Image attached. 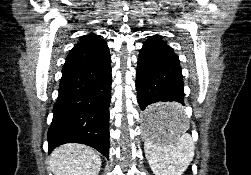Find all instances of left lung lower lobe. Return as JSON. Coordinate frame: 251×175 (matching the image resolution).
Returning <instances> with one entry per match:
<instances>
[{
  "mask_svg": "<svg viewBox=\"0 0 251 175\" xmlns=\"http://www.w3.org/2000/svg\"><path fill=\"white\" fill-rule=\"evenodd\" d=\"M136 89L143 123L158 125L182 118V68L178 56L159 35L150 36L139 52ZM168 102L173 104H162Z\"/></svg>",
  "mask_w": 251,
  "mask_h": 175,
  "instance_id": "obj_1",
  "label": "left lung lower lobe"
}]
</instances>
